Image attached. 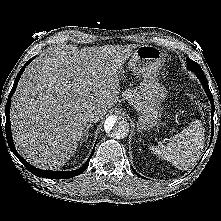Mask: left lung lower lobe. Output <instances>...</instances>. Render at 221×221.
I'll return each instance as SVG.
<instances>
[{"label": "left lung lower lobe", "instance_id": "obj_1", "mask_svg": "<svg viewBox=\"0 0 221 221\" xmlns=\"http://www.w3.org/2000/svg\"><path fill=\"white\" fill-rule=\"evenodd\" d=\"M194 73L196 74V76L199 78V80L201 81L202 85H203V88L205 89V92L207 93L208 95V98L210 99V102H211V107H212V117H213V114H214V100H213V96H212V93L210 92L209 90V86H208V82H207V79L204 75V72L202 70L200 71H194ZM213 129H214V126H212V133H211V141H212V137H213ZM133 169V168H132ZM133 171L135 172V170L133 169ZM137 175H139L137 172H135ZM140 176V175H139Z\"/></svg>", "mask_w": 221, "mask_h": 221}]
</instances>
